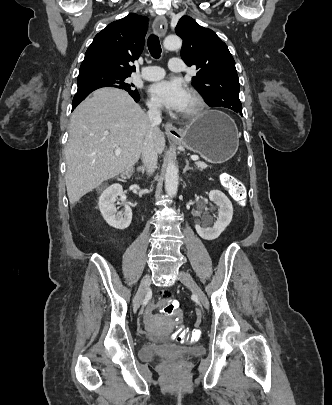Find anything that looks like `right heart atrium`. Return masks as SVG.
<instances>
[{
	"label": "right heart atrium",
	"instance_id": "1",
	"mask_svg": "<svg viewBox=\"0 0 332 405\" xmlns=\"http://www.w3.org/2000/svg\"><path fill=\"white\" fill-rule=\"evenodd\" d=\"M148 106L153 110H156L159 108L158 103L152 99L148 101Z\"/></svg>",
	"mask_w": 332,
	"mask_h": 405
}]
</instances>
